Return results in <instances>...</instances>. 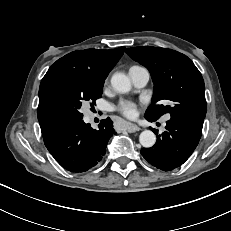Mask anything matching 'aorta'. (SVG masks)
I'll return each mask as SVG.
<instances>
[{
    "label": "aorta",
    "instance_id": "762f6f07",
    "mask_svg": "<svg viewBox=\"0 0 231 231\" xmlns=\"http://www.w3.org/2000/svg\"><path fill=\"white\" fill-rule=\"evenodd\" d=\"M112 87L120 92L127 93L131 90V81L123 73H114L111 78ZM140 144L145 148H150L156 143V136L151 130H144L139 136Z\"/></svg>",
    "mask_w": 231,
    "mask_h": 231
}]
</instances>
